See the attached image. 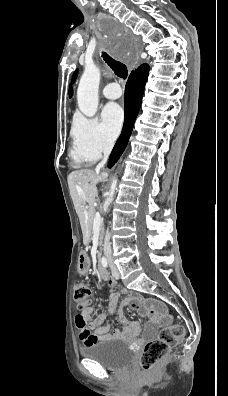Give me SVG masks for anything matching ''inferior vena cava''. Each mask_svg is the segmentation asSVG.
I'll return each mask as SVG.
<instances>
[{
  "mask_svg": "<svg viewBox=\"0 0 228 396\" xmlns=\"http://www.w3.org/2000/svg\"><path fill=\"white\" fill-rule=\"evenodd\" d=\"M114 142L113 141H107L104 145L103 148V160L97 165L96 170H100L101 168L104 167V165L107 162V159L113 149ZM104 254L105 256H110L111 255V244H110V234L109 231H106L105 239H104V246H103Z\"/></svg>",
  "mask_w": 228,
  "mask_h": 396,
  "instance_id": "inferior-vena-cava-1",
  "label": "inferior vena cava"
}]
</instances>
